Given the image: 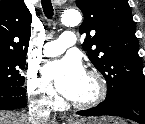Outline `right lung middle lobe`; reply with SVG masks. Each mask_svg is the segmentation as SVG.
Returning a JSON list of instances; mask_svg holds the SVG:
<instances>
[{
  "mask_svg": "<svg viewBox=\"0 0 145 124\" xmlns=\"http://www.w3.org/2000/svg\"><path fill=\"white\" fill-rule=\"evenodd\" d=\"M24 67V56L0 53V86H23L24 76L20 71Z\"/></svg>",
  "mask_w": 145,
  "mask_h": 124,
  "instance_id": "dd1d6c3e",
  "label": "right lung middle lobe"
}]
</instances>
